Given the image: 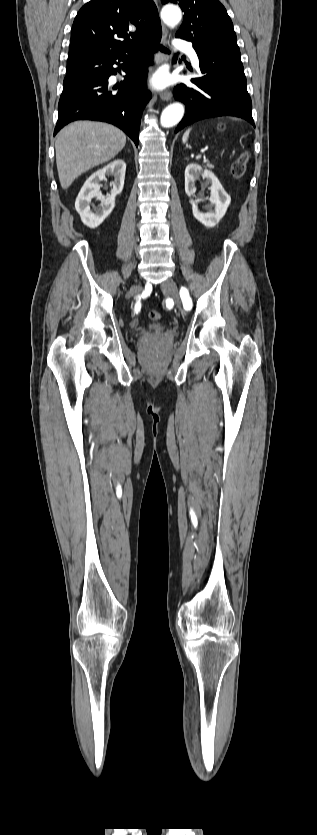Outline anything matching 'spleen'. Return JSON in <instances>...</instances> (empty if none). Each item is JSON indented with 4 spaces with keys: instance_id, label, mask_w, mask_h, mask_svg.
<instances>
[{
    "instance_id": "3e777b00",
    "label": "spleen",
    "mask_w": 317,
    "mask_h": 835,
    "mask_svg": "<svg viewBox=\"0 0 317 835\" xmlns=\"http://www.w3.org/2000/svg\"><path fill=\"white\" fill-rule=\"evenodd\" d=\"M190 131H191V129H188V130H186V132L184 133V135H183V137H182V140H183V142H184V143H185V142H187V140H188V138H189Z\"/></svg>"
}]
</instances>
